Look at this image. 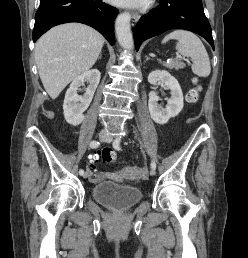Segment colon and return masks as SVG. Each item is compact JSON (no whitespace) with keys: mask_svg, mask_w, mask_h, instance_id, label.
I'll use <instances>...</instances> for the list:
<instances>
[{"mask_svg":"<svg viewBox=\"0 0 248 258\" xmlns=\"http://www.w3.org/2000/svg\"><path fill=\"white\" fill-rule=\"evenodd\" d=\"M200 92V87L195 86L192 88L188 94H187V101L189 103H195L198 100ZM101 151H93L92 155H87V158H85V173L87 175H98V163L99 160L102 159L106 162H111L115 160V153L111 150L110 146H101Z\"/></svg>","mask_w":248,"mask_h":258,"instance_id":"obj_1","label":"colon"}]
</instances>
